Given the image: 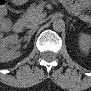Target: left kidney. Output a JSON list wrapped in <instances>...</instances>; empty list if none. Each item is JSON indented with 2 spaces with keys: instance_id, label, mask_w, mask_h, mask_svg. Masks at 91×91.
Instances as JSON below:
<instances>
[{
  "instance_id": "obj_1",
  "label": "left kidney",
  "mask_w": 91,
  "mask_h": 91,
  "mask_svg": "<svg viewBox=\"0 0 91 91\" xmlns=\"http://www.w3.org/2000/svg\"><path fill=\"white\" fill-rule=\"evenodd\" d=\"M79 47L85 54H88L91 48V39L89 35L81 34L79 38Z\"/></svg>"
}]
</instances>
